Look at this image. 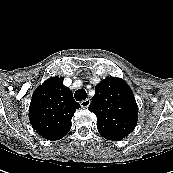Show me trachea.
Wrapping results in <instances>:
<instances>
[{"mask_svg":"<svg viewBox=\"0 0 173 173\" xmlns=\"http://www.w3.org/2000/svg\"><path fill=\"white\" fill-rule=\"evenodd\" d=\"M74 97L77 101H82L85 100L87 97V93L84 89H78L75 94Z\"/></svg>","mask_w":173,"mask_h":173,"instance_id":"3493384b","label":"trachea"}]
</instances>
